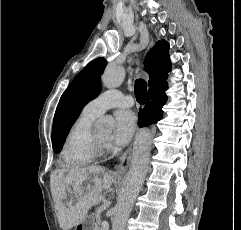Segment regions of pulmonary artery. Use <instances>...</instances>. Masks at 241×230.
<instances>
[{
	"label": "pulmonary artery",
	"mask_w": 241,
	"mask_h": 230,
	"mask_svg": "<svg viewBox=\"0 0 241 230\" xmlns=\"http://www.w3.org/2000/svg\"><path fill=\"white\" fill-rule=\"evenodd\" d=\"M133 98L129 95H123L120 91L109 89L87 103L84 110L94 116H100L106 110L115 107L133 106Z\"/></svg>",
	"instance_id": "pulmonary-artery-1"
}]
</instances>
